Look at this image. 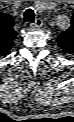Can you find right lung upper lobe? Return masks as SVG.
<instances>
[{
	"mask_svg": "<svg viewBox=\"0 0 74 122\" xmlns=\"http://www.w3.org/2000/svg\"><path fill=\"white\" fill-rule=\"evenodd\" d=\"M11 15L0 13V56L10 51L16 32Z\"/></svg>",
	"mask_w": 74,
	"mask_h": 122,
	"instance_id": "right-lung-upper-lobe-1",
	"label": "right lung upper lobe"
}]
</instances>
